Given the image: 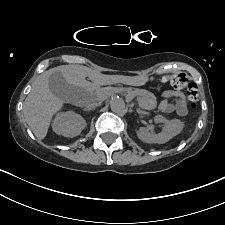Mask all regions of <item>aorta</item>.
<instances>
[{"label":"aorta","mask_w":225,"mask_h":225,"mask_svg":"<svg viewBox=\"0 0 225 225\" xmlns=\"http://www.w3.org/2000/svg\"><path fill=\"white\" fill-rule=\"evenodd\" d=\"M110 107L111 110L118 115H124L127 112L125 101L120 97H114L110 101Z\"/></svg>","instance_id":"762f6f07"}]
</instances>
